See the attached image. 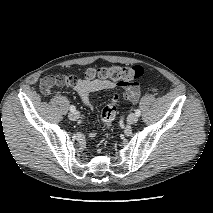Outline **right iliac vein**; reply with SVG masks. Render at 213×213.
<instances>
[{
	"instance_id": "obj_1",
	"label": "right iliac vein",
	"mask_w": 213,
	"mask_h": 213,
	"mask_svg": "<svg viewBox=\"0 0 213 213\" xmlns=\"http://www.w3.org/2000/svg\"><path fill=\"white\" fill-rule=\"evenodd\" d=\"M68 117L72 121H76L79 118V113L74 111L68 114Z\"/></svg>"
}]
</instances>
